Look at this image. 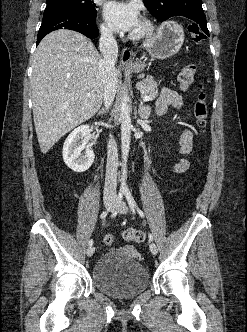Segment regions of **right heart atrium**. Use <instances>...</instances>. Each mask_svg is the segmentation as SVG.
I'll return each mask as SVG.
<instances>
[{"instance_id": "d8ad5b80", "label": "right heart atrium", "mask_w": 247, "mask_h": 332, "mask_svg": "<svg viewBox=\"0 0 247 332\" xmlns=\"http://www.w3.org/2000/svg\"><path fill=\"white\" fill-rule=\"evenodd\" d=\"M100 32H101L102 38L104 40H106V41L113 40V32L107 25L102 24L100 27Z\"/></svg>"}]
</instances>
